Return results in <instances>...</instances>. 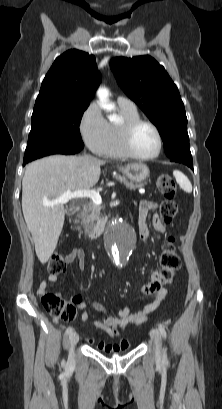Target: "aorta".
Listing matches in <instances>:
<instances>
[{
  "instance_id": "1",
  "label": "aorta",
  "mask_w": 222,
  "mask_h": 409,
  "mask_svg": "<svg viewBox=\"0 0 222 409\" xmlns=\"http://www.w3.org/2000/svg\"><path fill=\"white\" fill-rule=\"evenodd\" d=\"M97 95L100 100V106L107 111H111L113 106L107 103L108 90L104 88L99 89ZM114 118L115 116L112 115L109 117L110 120ZM133 239L134 231L128 223L120 220H112L108 227L107 244L116 264L131 254Z\"/></svg>"
}]
</instances>
